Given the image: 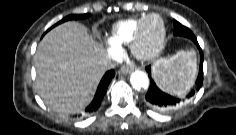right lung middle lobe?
Returning <instances> with one entry per match:
<instances>
[{
	"mask_svg": "<svg viewBox=\"0 0 236 135\" xmlns=\"http://www.w3.org/2000/svg\"><path fill=\"white\" fill-rule=\"evenodd\" d=\"M89 16V14H82V15H69L65 18H63L59 23L65 22L67 20H72V19H85Z\"/></svg>",
	"mask_w": 236,
	"mask_h": 135,
	"instance_id": "1",
	"label": "right lung middle lobe"
}]
</instances>
